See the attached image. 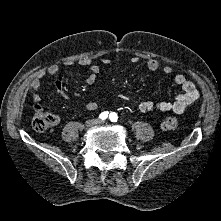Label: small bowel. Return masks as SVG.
<instances>
[{
  "label": "small bowel",
  "instance_id": "1",
  "mask_svg": "<svg viewBox=\"0 0 221 221\" xmlns=\"http://www.w3.org/2000/svg\"><path fill=\"white\" fill-rule=\"evenodd\" d=\"M133 62H137L138 58L133 57ZM102 62L106 65L111 64L112 61L108 58H104ZM78 64L83 67H88L90 71L89 77L86 79L87 85H92L97 78V75L100 71L99 65L93 63V61L84 57L79 59ZM146 66L151 71H156L161 69V71L165 75H171L173 73V69L168 66H162L160 62L154 58H149L146 61ZM59 73V67L56 64L50 65L45 71L40 72L34 80L30 83L28 87V92L32 96L33 102L36 108H40L41 97L39 95V88L43 83V80L46 75L55 76ZM174 82L181 87V93L177 95V97L173 101H151V100H143L137 101L131 98L128 95H120L119 99L124 102H130L136 104L140 111L149 112L152 110L158 111H172L176 114H181L188 106L193 104L198 99V91L194 85V83L186 78L184 74H176L174 75ZM54 88L56 92L63 98H68V93L65 89V86L61 80L54 81ZM85 108L88 110H95L97 108V104L95 102H87L85 103ZM58 119V117H57Z\"/></svg>",
  "mask_w": 221,
  "mask_h": 221
}]
</instances>
